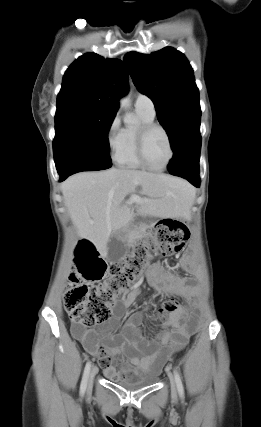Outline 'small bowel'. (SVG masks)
Instances as JSON below:
<instances>
[{
  "label": "small bowel",
  "instance_id": "c3829d8e",
  "mask_svg": "<svg viewBox=\"0 0 261 427\" xmlns=\"http://www.w3.org/2000/svg\"><path fill=\"white\" fill-rule=\"evenodd\" d=\"M175 270H182L189 274L197 271L196 265L189 254H184L175 266ZM175 270H165L160 264H154L147 273L150 286L159 293L175 292L184 296L190 302H196L197 289L194 279L190 276H181ZM140 289L135 287L113 305L110 320L101 325L98 330L73 325V336L82 343L85 350L98 357V363L104 373L112 378L143 377L157 374L171 354L181 350L194 331L197 318L189 310L180 307L169 315L167 325L169 329L162 331L155 339L148 340L141 330L144 318L143 312H134L129 316L120 334H113V328L123 317L124 309L131 306ZM150 351L144 357L131 356L133 370L117 371L112 366V358L132 351Z\"/></svg>",
  "mask_w": 261,
  "mask_h": 427
}]
</instances>
